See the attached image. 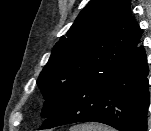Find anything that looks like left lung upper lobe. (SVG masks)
<instances>
[{
  "label": "left lung upper lobe",
  "instance_id": "1",
  "mask_svg": "<svg viewBox=\"0 0 151 131\" xmlns=\"http://www.w3.org/2000/svg\"><path fill=\"white\" fill-rule=\"evenodd\" d=\"M136 31L129 0H91L40 73L37 85L45 97L41 116H51L88 72L113 69L131 59Z\"/></svg>",
  "mask_w": 151,
  "mask_h": 131
}]
</instances>
